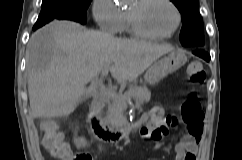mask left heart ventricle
I'll return each instance as SVG.
<instances>
[{"label":"left heart ventricle","instance_id":"obj_1","mask_svg":"<svg viewBox=\"0 0 242 160\" xmlns=\"http://www.w3.org/2000/svg\"><path fill=\"white\" fill-rule=\"evenodd\" d=\"M129 10H137L144 29L153 34H167L176 24V14L173 8L164 0H149L142 7L134 1Z\"/></svg>","mask_w":242,"mask_h":160}]
</instances>
